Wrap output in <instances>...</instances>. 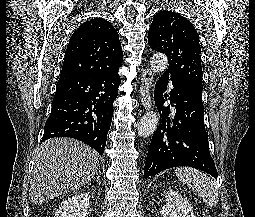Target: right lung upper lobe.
<instances>
[{"mask_svg": "<svg viewBox=\"0 0 255 217\" xmlns=\"http://www.w3.org/2000/svg\"><path fill=\"white\" fill-rule=\"evenodd\" d=\"M123 61L119 35L105 19L94 18L72 34L61 76L104 75L117 72Z\"/></svg>", "mask_w": 255, "mask_h": 217, "instance_id": "right-lung-upper-lobe-1", "label": "right lung upper lobe"}]
</instances>
